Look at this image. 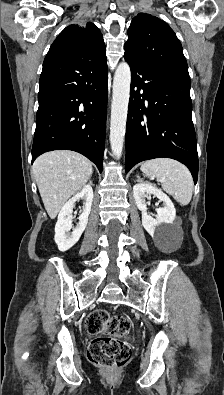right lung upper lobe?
Listing matches in <instances>:
<instances>
[{"instance_id": "obj_1", "label": "right lung upper lobe", "mask_w": 224, "mask_h": 395, "mask_svg": "<svg viewBox=\"0 0 224 395\" xmlns=\"http://www.w3.org/2000/svg\"><path fill=\"white\" fill-rule=\"evenodd\" d=\"M61 51L79 60L106 59V49L100 30L91 22L84 26L69 25L55 39L48 53Z\"/></svg>"}]
</instances>
